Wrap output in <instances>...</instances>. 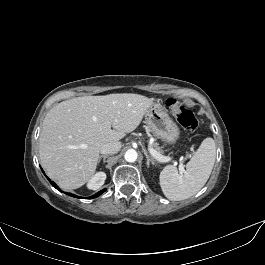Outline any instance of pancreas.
<instances>
[{
  "label": "pancreas",
  "mask_w": 265,
  "mask_h": 265,
  "mask_svg": "<svg viewBox=\"0 0 265 265\" xmlns=\"http://www.w3.org/2000/svg\"><path fill=\"white\" fill-rule=\"evenodd\" d=\"M153 147L157 152L163 153V150L161 149V147H159L158 143H154Z\"/></svg>",
  "instance_id": "cf45deb5"
}]
</instances>
